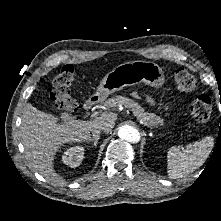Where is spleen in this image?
<instances>
[{
	"label": "spleen",
	"mask_w": 221,
	"mask_h": 221,
	"mask_svg": "<svg viewBox=\"0 0 221 221\" xmlns=\"http://www.w3.org/2000/svg\"><path fill=\"white\" fill-rule=\"evenodd\" d=\"M214 146L213 137H204L189 144L184 152L171 147L167 152V172L171 179H179L198 169L206 161Z\"/></svg>",
	"instance_id": "obj_1"
}]
</instances>
